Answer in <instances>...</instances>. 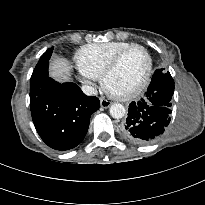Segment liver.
<instances>
[{"instance_id":"6515ba94","label":"liver","mask_w":205,"mask_h":205,"mask_svg":"<svg viewBox=\"0 0 205 205\" xmlns=\"http://www.w3.org/2000/svg\"><path fill=\"white\" fill-rule=\"evenodd\" d=\"M49 75L59 82L70 79L71 66L65 58L55 57L50 62Z\"/></svg>"}]
</instances>
